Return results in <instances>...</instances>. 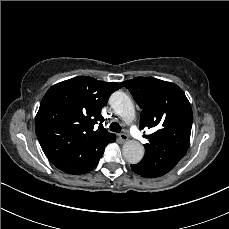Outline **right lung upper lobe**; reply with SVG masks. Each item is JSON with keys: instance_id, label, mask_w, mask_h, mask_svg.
<instances>
[{"instance_id": "obj_1", "label": "right lung upper lobe", "mask_w": 229, "mask_h": 229, "mask_svg": "<svg viewBox=\"0 0 229 229\" xmlns=\"http://www.w3.org/2000/svg\"><path fill=\"white\" fill-rule=\"evenodd\" d=\"M119 83L75 77L52 86L36 116L35 131L50 162L63 172L80 174L115 140L102 125L101 109ZM99 124L94 129V125ZM97 129V130H96Z\"/></svg>"}]
</instances>
